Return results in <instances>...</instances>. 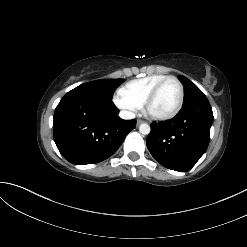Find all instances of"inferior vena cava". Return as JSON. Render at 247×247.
I'll return each instance as SVG.
<instances>
[{
    "instance_id": "obj_1",
    "label": "inferior vena cava",
    "mask_w": 247,
    "mask_h": 247,
    "mask_svg": "<svg viewBox=\"0 0 247 247\" xmlns=\"http://www.w3.org/2000/svg\"><path fill=\"white\" fill-rule=\"evenodd\" d=\"M119 116H120L122 119H126V120L135 118V114H134L133 112L125 111V110H124V111H121V112L119 113Z\"/></svg>"
}]
</instances>
